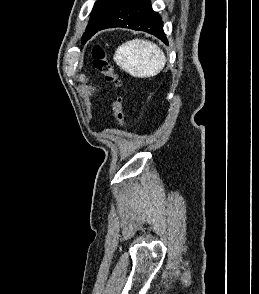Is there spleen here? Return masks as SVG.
<instances>
[{"label":"spleen","mask_w":259,"mask_h":294,"mask_svg":"<svg viewBox=\"0 0 259 294\" xmlns=\"http://www.w3.org/2000/svg\"><path fill=\"white\" fill-rule=\"evenodd\" d=\"M114 61L133 77L149 78L163 70L166 57L156 44L143 39H134L117 48Z\"/></svg>","instance_id":"1"}]
</instances>
